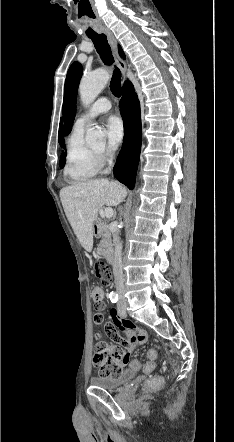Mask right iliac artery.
<instances>
[{"mask_svg": "<svg viewBox=\"0 0 234 442\" xmlns=\"http://www.w3.org/2000/svg\"><path fill=\"white\" fill-rule=\"evenodd\" d=\"M109 298L112 303H116L118 301V294L111 292L109 295Z\"/></svg>", "mask_w": 234, "mask_h": 442, "instance_id": "82829eb1", "label": "right iliac artery"}]
</instances>
